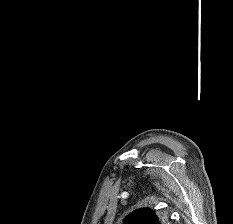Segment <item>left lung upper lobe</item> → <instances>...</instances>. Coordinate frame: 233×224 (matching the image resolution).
<instances>
[{
    "label": "left lung upper lobe",
    "instance_id": "obj_1",
    "mask_svg": "<svg viewBox=\"0 0 233 224\" xmlns=\"http://www.w3.org/2000/svg\"><path fill=\"white\" fill-rule=\"evenodd\" d=\"M164 216L150 208H140L130 213L124 219V224H166Z\"/></svg>",
    "mask_w": 233,
    "mask_h": 224
}]
</instances>
